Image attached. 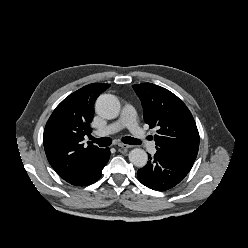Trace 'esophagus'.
<instances>
[{
    "instance_id": "1",
    "label": "esophagus",
    "mask_w": 248,
    "mask_h": 248,
    "mask_svg": "<svg viewBox=\"0 0 248 248\" xmlns=\"http://www.w3.org/2000/svg\"><path fill=\"white\" fill-rule=\"evenodd\" d=\"M117 145L122 150H127V149H129L131 147L130 145H127V144H124V143H118Z\"/></svg>"
}]
</instances>
